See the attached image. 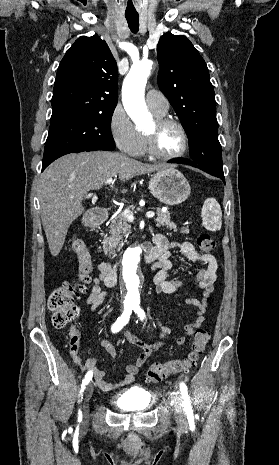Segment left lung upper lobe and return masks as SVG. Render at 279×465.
<instances>
[{
  "label": "left lung upper lobe",
  "instance_id": "1",
  "mask_svg": "<svg viewBox=\"0 0 279 465\" xmlns=\"http://www.w3.org/2000/svg\"><path fill=\"white\" fill-rule=\"evenodd\" d=\"M158 84L188 135L192 162L223 176L216 101L204 59L183 35L165 33L157 45Z\"/></svg>",
  "mask_w": 279,
  "mask_h": 465
}]
</instances>
